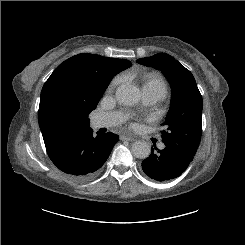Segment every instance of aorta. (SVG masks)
Instances as JSON below:
<instances>
[{"label": "aorta", "mask_w": 245, "mask_h": 245, "mask_svg": "<svg viewBox=\"0 0 245 245\" xmlns=\"http://www.w3.org/2000/svg\"><path fill=\"white\" fill-rule=\"evenodd\" d=\"M116 98L119 103L127 106L135 105L140 100V91L132 85H120L116 89ZM134 157L139 159L147 158L151 153V147L146 141H136L131 148Z\"/></svg>", "instance_id": "762f6f07"}]
</instances>
